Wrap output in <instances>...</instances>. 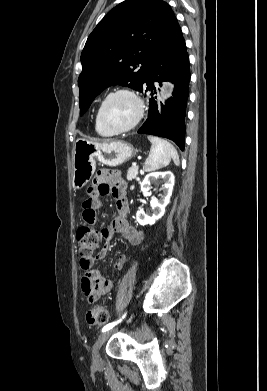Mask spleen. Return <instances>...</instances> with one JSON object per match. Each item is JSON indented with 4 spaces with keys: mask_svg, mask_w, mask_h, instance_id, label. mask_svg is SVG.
I'll list each match as a JSON object with an SVG mask.
<instances>
[{
    "mask_svg": "<svg viewBox=\"0 0 267 391\" xmlns=\"http://www.w3.org/2000/svg\"><path fill=\"white\" fill-rule=\"evenodd\" d=\"M148 140L151 142V149L143 166L144 171L152 172L165 167L171 159L175 165L180 164L177 150L170 142L156 136H148Z\"/></svg>",
    "mask_w": 267,
    "mask_h": 391,
    "instance_id": "1",
    "label": "spleen"
}]
</instances>
